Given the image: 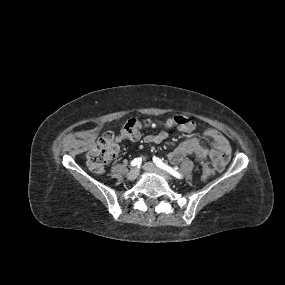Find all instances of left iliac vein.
<instances>
[{"label":"left iliac vein","mask_w":285,"mask_h":285,"mask_svg":"<svg viewBox=\"0 0 285 285\" xmlns=\"http://www.w3.org/2000/svg\"><path fill=\"white\" fill-rule=\"evenodd\" d=\"M143 168L147 172L157 173L159 175L164 176L168 180H171V177L166 172H164L163 170L157 168L153 163L147 162V163L144 164Z\"/></svg>","instance_id":"left-iliac-vein-1"}]
</instances>
